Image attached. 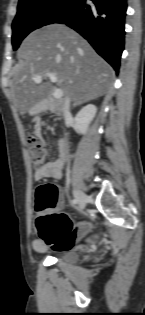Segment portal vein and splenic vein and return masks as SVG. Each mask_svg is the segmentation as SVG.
<instances>
[{"instance_id":"18ae733b","label":"portal vein and splenic vein","mask_w":145,"mask_h":315,"mask_svg":"<svg viewBox=\"0 0 145 315\" xmlns=\"http://www.w3.org/2000/svg\"><path fill=\"white\" fill-rule=\"evenodd\" d=\"M45 75H46L47 77H49V79H50L52 82H57V77H56L55 74H53V73H45ZM42 76H43V75H36V76L33 78L34 82L40 83V82L42 81ZM53 96H54V98H56V99L61 98V97L63 96V91H62V89H60V88L56 89V90L54 91V93H53Z\"/></svg>"}]
</instances>
